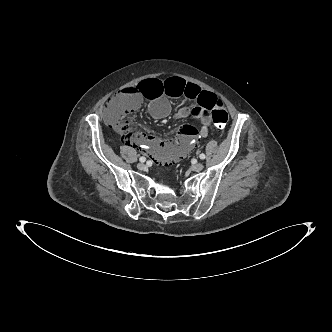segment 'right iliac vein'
<instances>
[{"mask_svg": "<svg viewBox=\"0 0 332 332\" xmlns=\"http://www.w3.org/2000/svg\"><path fill=\"white\" fill-rule=\"evenodd\" d=\"M146 167H147L146 164H144V163H142V162L137 164V168H138L139 170H145Z\"/></svg>", "mask_w": 332, "mask_h": 332, "instance_id": "1", "label": "right iliac vein"}]
</instances>
